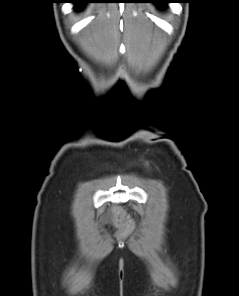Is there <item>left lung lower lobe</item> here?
I'll list each match as a JSON object with an SVG mask.
<instances>
[{
  "mask_svg": "<svg viewBox=\"0 0 239 296\" xmlns=\"http://www.w3.org/2000/svg\"><path fill=\"white\" fill-rule=\"evenodd\" d=\"M150 2L162 5V4H166V3H172L175 1L174 0H150Z\"/></svg>",
  "mask_w": 239,
  "mask_h": 296,
  "instance_id": "1",
  "label": "left lung lower lobe"
}]
</instances>
